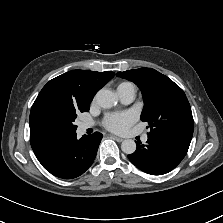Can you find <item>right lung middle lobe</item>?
Masks as SVG:
<instances>
[{"mask_svg": "<svg viewBox=\"0 0 223 223\" xmlns=\"http://www.w3.org/2000/svg\"><path fill=\"white\" fill-rule=\"evenodd\" d=\"M78 111L74 107L53 100L33 104L30 112V135L39 139H60L76 133L73 124Z\"/></svg>", "mask_w": 223, "mask_h": 223, "instance_id": "right-lung-middle-lobe-1", "label": "right lung middle lobe"}]
</instances>
